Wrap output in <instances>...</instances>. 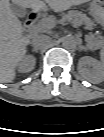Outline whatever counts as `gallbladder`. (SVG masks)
Returning <instances> with one entry per match:
<instances>
[{
  "instance_id": "obj_1",
  "label": "gallbladder",
  "mask_w": 104,
  "mask_h": 137,
  "mask_svg": "<svg viewBox=\"0 0 104 137\" xmlns=\"http://www.w3.org/2000/svg\"><path fill=\"white\" fill-rule=\"evenodd\" d=\"M10 9L18 17H25V15L27 14L26 8L15 5V4L11 5Z\"/></svg>"
}]
</instances>
